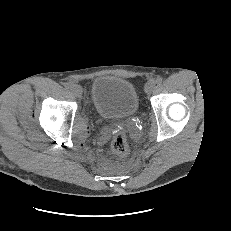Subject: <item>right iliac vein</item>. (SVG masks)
<instances>
[{"label":"right iliac vein","mask_w":231,"mask_h":231,"mask_svg":"<svg viewBox=\"0 0 231 231\" xmlns=\"http://www.w3.org/2000/svg\"><path fill=\"white\" fill-rule=\"evenodd\" d=\"M70 90L75 96H80L82 93V88L78 84L71 85Z\"/></svg>","instance_id":"1"}]
</instances>
